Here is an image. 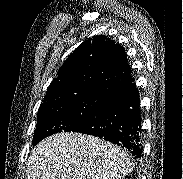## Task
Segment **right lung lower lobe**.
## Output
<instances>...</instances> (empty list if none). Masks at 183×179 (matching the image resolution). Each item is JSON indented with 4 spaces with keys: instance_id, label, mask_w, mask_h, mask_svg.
Returning <instances> with one entry per match:
<instances>
[{
    "instance_id": "right-lung-lower-lobe-1",
    "label": "right lung lower lobe",
    "mask_w": 183,
    "mask_h": 179,
    "mask_svg": "<svg viewBox=\"0 0 183 179\" xmlns=\"http://www.w3.org/2000/svg\"><path fill=\"white\" fill-rule=\"evenodd\" d=\"M141 121L139 92L130 76L107 89L95 116L76 132L103 138L140 158Z\"/></svg>"
}]
</instances>
